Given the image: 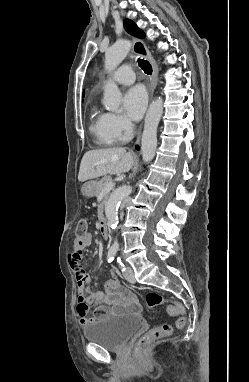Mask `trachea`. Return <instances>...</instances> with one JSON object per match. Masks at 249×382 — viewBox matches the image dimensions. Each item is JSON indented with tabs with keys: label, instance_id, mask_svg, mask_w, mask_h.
Instances as JSON below:
<instances>
[{
	"label": "trachea",
	"instance_id": "trachea-1",
	"mask_svg": "<svg viewBox=\"0 0 249 382\" xmlns=\"http://www.w3.org/2000/svg\"><path fill=\"white\" fill-rule=\"evenodd\" d=\"M138 63H139V66L142 68V70L146 73V74H151L152 73V66L150 65V63L144 59H138Z\"/></svg>",
	"mask_w": 249,
	"mask_h": 382
}]
</instances>
